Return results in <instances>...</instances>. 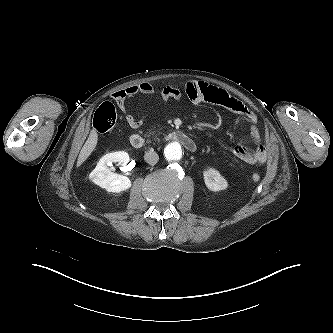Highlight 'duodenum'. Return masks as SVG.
I'll return each instance as SVG.
<instances>
[{
    "label": "duodenum",
    "mask_w": 333,
    "mask_h": 333,
    "mask_svg": "<svg viewBox=\"0 0 333 333\" xmlns=\"http://www.w3.org/2000/svg\"><path fill=\"white\" fill-rule=\"evenodd\" d=\"M163 139L168 141H175L182 145L189 152H195L197 148L195 141L181 130H172L166 133L163 136ZM130 143L134 148L139 149L151 146L154 143V140L151 138H146L139 134H133L130 137Z\"/></svg>",
    "instance_id": "410a0bca"
}]
</instances>
